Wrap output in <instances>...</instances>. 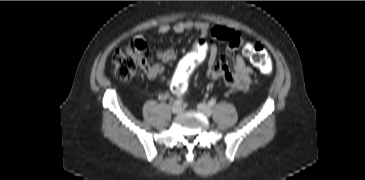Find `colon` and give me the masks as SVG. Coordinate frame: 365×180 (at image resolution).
<instances>
[{"label":"colon","mask_w":365,"mask_h":180,"mask_svg":"<svg viewBox=\"0 0 365 180\" xmlns=\"http://www.w3.org/2000/svg\"><path fill=\"white\" fill-rule=\"evenodd\" d=\"M242 51L262 74L269 76L272 73L273 65L270 55L262 45L247 43ZM148 56L147 46L142 40L131 41L116 49L112 55L114 76L120 81L132 79L139 68L148 64ZM172 89L178 95L186 91L187 83L184 74L173 83Z\"/></svg>","instance_id":"colon-1"}]
</instances>
